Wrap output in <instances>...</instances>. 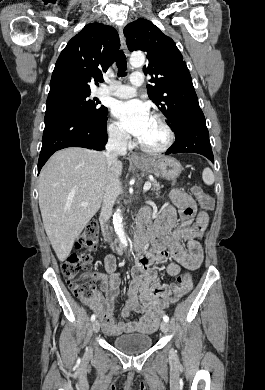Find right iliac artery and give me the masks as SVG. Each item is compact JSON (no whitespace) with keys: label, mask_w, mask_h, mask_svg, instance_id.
Instances as JSON below:
<instances>
[{"label":"right iliac artery","mask_w":265,"mask_h":390,"mask_svg":"<svg viewBox=\"0 0 265 390\" xmlns=\"http://www.w3.org/2000/svg\"><path fill=\"white\" fill-rule=\"evenodd\" d=\"M95 318H96V315L93 314V315L91 316V321L93 322V321L95 320Z\"/></svg>","instance_id":"82829eb1"}]
</instances>
